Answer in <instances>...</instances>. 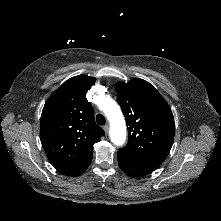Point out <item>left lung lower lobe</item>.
I'll list each match as a JSON object with an SVG mask.
<instances>
[{
	"instance_id": "obj_1",
	"label": "left lung lower lobe",
	"mask_w": 221,
	"mask_h": 221,
	"mask_svg": "<svg viewBox=\"0 0 221 221\" xmlns=\"http://www.w3.org/2000/svg\"><path fill=\"white\" fill-rule=\"evenodd\" d=\"M117 157L122 171L134 178L145 176L157 169L156 167L137 159L122 149L118 150Z\"/></svg>"
}]
</instances>
